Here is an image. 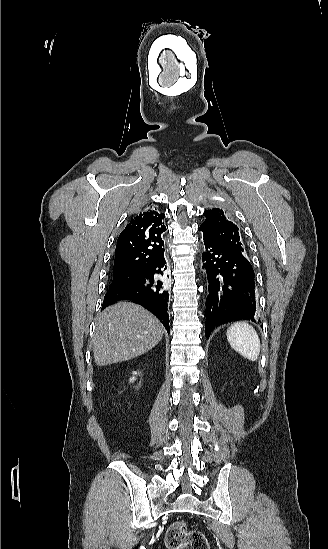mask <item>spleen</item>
Wrapping results in <instances>:
<instances>
[{
  "label": "spleen",
  "mask_w": 328,
  "mask_h": 549,
  "mask_svg": "<svg viewBox=\"0 0 328 549\" xmlns=\"http://www.w3.org/2000/svg\"><path fill=\"white\" fill-rule=\"evenodd\" d=\"M227 339L230 347L249 361H257L261 349L260 339L248 323H234L227 329Z\"/></svg>",
  "instance_id": "1"
}]
</instances>
